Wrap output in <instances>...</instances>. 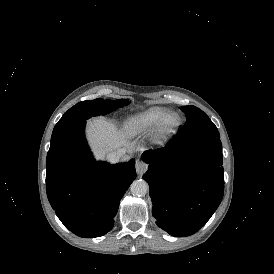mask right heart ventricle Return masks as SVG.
Instances as JSON below:
<instances>
[{
    "mask_svg": "<svg viewBox=\"0 0 274 274\" xmlns=\"http://www.w3.org/2000/svg\"><path fill=\"white\" fill-rule=\"evenodd\" d=\"M167 110L163 107H149L130 116L124 123L123 132L130 138H139L151 132L162 120Z\"/></svg>",
    "mask_w": 274,
    "mask_h": 274,
    "instance_id": "obj_1",
    "label": "right heart ventricle"
}]
</instances>
